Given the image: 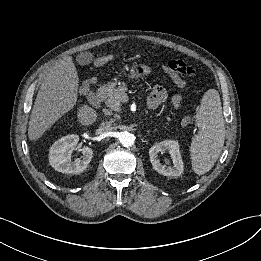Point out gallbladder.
Masks as SVG:
<instances>
[{
	"label": "gallbladder",
	"instance_id": "bac80fb5",
	"mask_svg": "<svg viewBox=\"0 0 261 261\" xmlns=\"http://www.w3.org/2000/svg\"><path fill=\"white\" fill-rule=\"evenodd\" d=\"M86 54H80L77 56L76 60L78 61L79 64L81 65H85L88 62H90L89 60L91 59V55H88V57H84ZM94 103V101L92 102Z\"/></svg>",
	"mask_w": 261,
	"mask_h": 261
}]
</instances>
